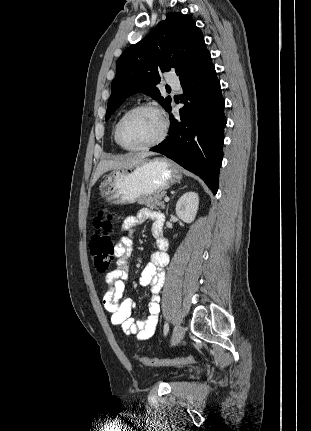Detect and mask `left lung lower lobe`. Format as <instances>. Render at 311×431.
I'll return each instance as SVG.
<instances>
[{
  "instance_id": "1",
  "label": "left lung lower lobe",
  "mask_w": 311,
  "mask_h": 431,
  "mask_svg": "<svg viewBox=\"0 0 311 431\" xmlns=\"http://www.w3.org/2000/svg\"><path fill=\"white\" fill-rule=\"evenodd\" d=\"M184 107L170 115L169 136L150 151L164 154L200 176L216 194L223 157L224 99L211 55L203 51L180 77ZM171 111V108L168 110Z\"/></svg>"
}]
</instances>
